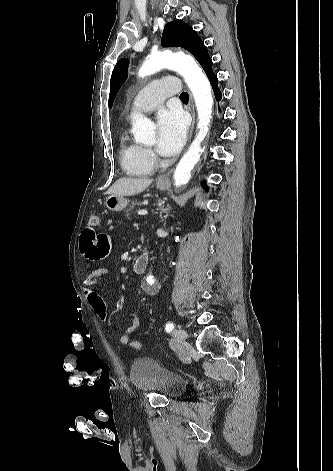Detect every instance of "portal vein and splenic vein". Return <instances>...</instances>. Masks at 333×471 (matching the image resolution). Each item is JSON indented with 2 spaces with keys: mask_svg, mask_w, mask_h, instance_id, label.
Returning <instances> with one entry per match:
<instances>
[{
  "mask_svg": "<svg viewBox=\"0 0 333 471\" xmlns=\"http://www.w3.org/2000/svg\"><path fill=\"white\" fill-rule=\"evenodd\" d=\"M147 214H148L147 210H139L138 211V215H147Z\"/></svg>",
  "mask_w": 333,
  "mask_h": 471,
  "instance_id": "obj_1",
  "label": "portal vein and splenic vein"
}]
</instances>
